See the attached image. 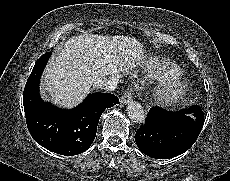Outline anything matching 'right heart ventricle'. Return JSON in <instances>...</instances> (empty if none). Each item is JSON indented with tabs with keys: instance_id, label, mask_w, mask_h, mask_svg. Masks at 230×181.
Listing matches in <instances>:
<instances>
[{
	"instance_id": "1",
	"label": "right heart ventricle",
	"mask_w": 230,
	"mask_h": 181,
	"mask_svg": "<svg viewBox=\"0 0 230 181\" xmlns=\"http://www.w3.org/2000/svg\"><path fill=\"white\" fill-rule=\"evenodd\" d=\"M176 72L181 73L177 66L173 65L170 62L158 61L155 62L153 65L152 76L161 79L165 76L172 75Z\"/></svg>"
}]
</instances>
